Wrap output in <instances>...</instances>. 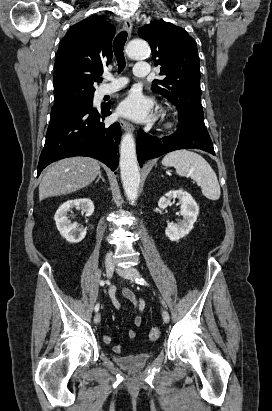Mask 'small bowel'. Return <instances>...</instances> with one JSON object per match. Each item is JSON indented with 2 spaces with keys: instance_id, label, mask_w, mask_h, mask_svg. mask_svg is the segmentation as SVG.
<instances>
[{
  "instance_id": "obj_1",
  "label": "small bowel",
  "mask_w": 272,
  "mask_h": 411,
  "mask_svg": "<svg viewBox=\"0 0 272 411\" xmlns=\"http://www.w3.org/2000/svg\"><path fill=\"white\" fill-rule=\"evenodd\" d=\"M121 296L125 299H127L128 301H130L136 310V315L134 317V325L136 327H140L142 325V316L141 314L143 313L144 309H145V301L142 297L137 296L132 290L128 289V288H123L120 292ZM110 297H111V301L113 306L117 309L120 310L121 309V303L119 302V300L116 297V290L115 288H111L110 289ZM126 336L128 339H134L136 336V332L133 329H129L126 333ZM106 343H110L111 338L109 336H106L104 338ZM124 350L123 345L122 344H117L113 347V351L115 353H122Z\"/></svg>"
}]
</instances>
